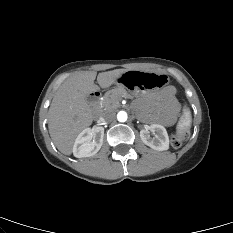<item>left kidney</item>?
I'll return each instance as SVG.
<instances>
[{"mask_svg": "<svg viewBox=\"0 0 233 233\" xmlns=\"http://www.w3.org/2000/svg\"><path fill=\"white\" fill-rule=\"evenodd\" d=\"M149 130L156 133L155 138H151ZM140 137L143 143L154 150L164 151L169 148V137L165 127L159 124H152L140 131Z\"/></svg>", "mask_w": 233, "mask_h": 233, "instance_id": "obj_1", "label": "left kidney"}]
</instances>
